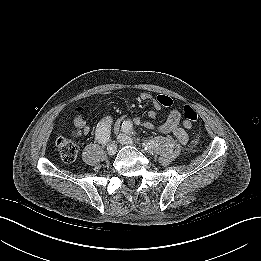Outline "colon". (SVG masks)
<instances>
[{
  "mask_svg": "<svg viewBox=\"0 0 261 261\" xmlns=\"http://www.w3.org/2000/svg\"><path fill=\"white\" fill-rule=\"evenodd\" d=\"M159 99L165 104H170V100L167 99L165 96H159ZM183 115L185 121L190 123H193L198 119L197 112L190 105L184 106ZM57 150L61 159L64 162L70 163L76 159L79 148L75 142L66 139H61L57 142Z\"/></svg>",
  "mask_w": 261,
  "mask_h": 261,
  "instance_id": "5ec220e1",
  "label": "colon"
}]
</instances>
